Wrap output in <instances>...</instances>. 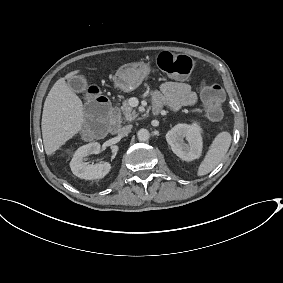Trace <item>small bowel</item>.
I'll list each match as a JSON object with an SVG mask.
<instances>
[{"mask_svg":"<svg viewBox=\"0 0 283 283\" xmlns=\"http://www.w3.org/2000/svg\"><path fill=\"white\" fill-rule=\"evenodd\" d=\"M153 100L155 107H168L176 111L194 105L197 102V94L187 83L169 81L153 94Z\"/></svg>","mask_w":283,"mask_h":283,"instance_id":"1","label":"small bowel"}]
</instances>
